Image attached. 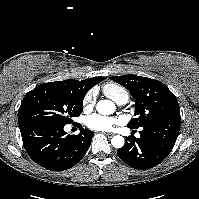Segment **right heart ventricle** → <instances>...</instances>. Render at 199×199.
I'll return each instance as SVG.
<instances>
[{"instance_id": "e07e8e85", "label": "right heart ventricle", "mask_w": 199, "mask_h": 199, "mask_svg": "<svg viewBox=\"0 0 199 199\" xmlns=\"http://www.w3.org/2000/svg\"><path fill=\"white\" fill-rule=\"evenodd\" d=\"M103 91L106 96L115 101H118L120 99L128 100L129 98L128 91L124 87L117 84H107L104 86Z\"/></svg>"}]
</instances>
